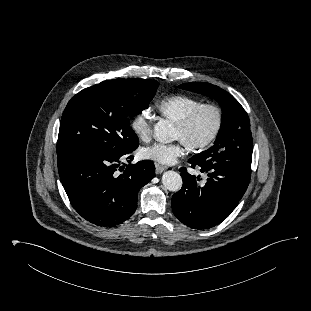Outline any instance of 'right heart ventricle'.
<instances>
[{
  "instance_id": "e07e8e85",
  "label": "right heart ventricle",
  "mask_w": 311,
  "mask_h": 311,
  "mask_svg": "<svg viewBox=\"0 0 311 311\" xmlns=\"http://www.w3.org/2000/svg\"><path fill=\"white\" fill-rule=\"evenodd\" d=\"M201 104L202 101L197 98L177 94L163 98L156 107L163 117L178 123Z\"/></svg>"
}]
</instances>
